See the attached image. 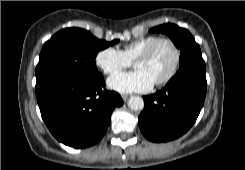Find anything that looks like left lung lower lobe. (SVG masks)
<instances>
[{
	"mask_svg": "<svg viewBox=\"0 0 245 170\" xmlns=\"http://www.w3.org/2000/svg\"><path fill=\"white\" fill-rule=\"evenodd\" d=\"M205 72L181 71L159 92L144 97L138 124L152 142H167L186 133L195 123L205 100Z\"/></svg>",
	"mask_w": 245,
	"mask_h": 170,
	"instance_id": "obj_1",
	"label": "left lung lower lobe"
}]
</instances>
